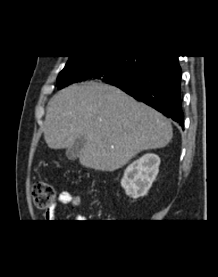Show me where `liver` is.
Returning <instances> with one entry per match:
<instances>
[{"mask_svg": "<svg viewBox=\"0 0 218 277\" xmlns=\"http://www.w3.org/2000/svg\"><path fill=\"white\" fill-rule=\"evenodd\" d=\"M172 136L171 123L162 114L98 82L59 91L48 104L44 125L48 147L69 148L85 137L80 164L109 172L122 168L143 150L167 146Z\"/></svg>", "mask_w": 218, "mask_h": 277, "instance_id": "1", "label": "liver"}]
</instances>
